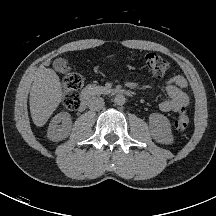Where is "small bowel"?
<instances>
[{"label":"small bowel","instance_id":"obj_1","mask_svg":"<svg viewBox=\"0 0 216 216\" xmlns=\"http://www.w3.org/2000/svg\"><path fill=\"white\" fill-rule=\"evenodd\" d=\"M187 87L186 79L179 74L167 78L163 82V88L168 95V99L159 104V109L163 112H178L189 104V97L185 92Z\"/></svg>","mask_w":216,"mask_h":216}]
</instances>
